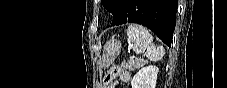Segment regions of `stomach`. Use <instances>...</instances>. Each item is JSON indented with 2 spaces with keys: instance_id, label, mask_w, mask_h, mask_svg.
I'll use <instances>...</instances> for the list:
<instances>
[{
  "instance_id": "stomach-1",
  "label": "stomach",
  "mask_w": 227,
  "mask_h": 88,
  "mask_svg": "<svg viewBox=\"0 0 227 88\" xmlns=\"http://www.w3.org/2000/svg\"><path fill=\"white\" fill-rule=\"evenodd\" d=\"M121 50V43L118 39H111L106 42L103 50V64L110 65L114 59L119 55Z\"/></svg>"
}]
</instances>
